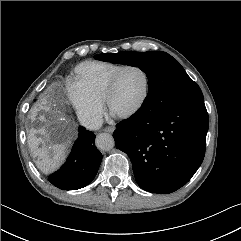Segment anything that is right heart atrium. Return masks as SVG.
<instances>
[{
    "label": "right heart atrium",
    "mask_w": 241,
    "mask_h": 241,
    "mask_svg": "<svg viewBox=\"0 0 241 241\" xmlns=\"http://www.w3.org/2000/svg\"><path fill=\"white\" fill-rule=\"evenodd\" d=\"M68 97L78 119L88 128H97L104 115L102 102L90 96L76 81L68 89Z\"/></svg>",
    "instance_id": "1"
}]
</instances>
